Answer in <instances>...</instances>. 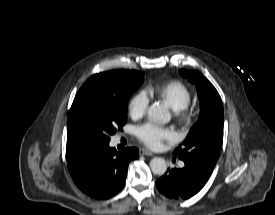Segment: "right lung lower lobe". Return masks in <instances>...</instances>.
<instances>
[{"instance_id": "98d812e1", "label": "right lung lower lobe", "mask_w": 275, "mask_h": 215, "mask_svg": "<svg viewBox=\"0 0 275 215\" xmlns=\"http://www.w3.org/2000/svg\"><path fill=\"white\" fill-rule=\"evenodd\" d=\"M67 164L77 187L95 199H108L124 186L128 165L138 157V149L117 153L109 142H83L67 145Z\"/></svg>"}]
</instances>
